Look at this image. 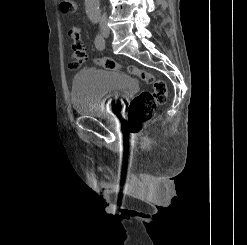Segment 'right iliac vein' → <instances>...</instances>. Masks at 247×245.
<instances>
[{
    "mask_svg": "<svg viewBox=\"0 0 247 245\" xmlns=\"http://www.w3.org/2000/svg\"><path fill=\"white\" fill-rule=\"evenodd\" d=\"M102 32H103V34H105L107 32V29L106 28H103L102 29Z\"/></svg>",
    "mask_w": 247,
    "mask_h": 245,
    "instance_id": "right-iliac-vein-1",
    "label": "right iliac vein"
}]
</instances>
